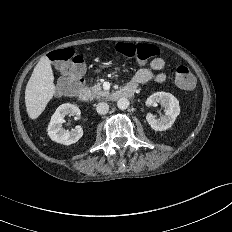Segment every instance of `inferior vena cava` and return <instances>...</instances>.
I'll return each instance as SVG.
<instances>
[{
    "mask_svg": "<svg viewBox=\"0 0 232 232\" xmlns=\"http://www.w3.org/2000/svg\"><path fill=\"white\" fill-rule=\"evenodd\" d=\"M109 110V105L105 102H100L97 104L96 111L100 115H104L108 112Z\"/></svg>",
    "mask_w": 232,
    "mask_h": 232,
    "instance_id": "inferior-vena-cava-1",
    "label": "inferior vena cava"
}]
</instances>
